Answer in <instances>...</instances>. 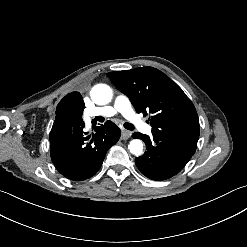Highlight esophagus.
<instances>
[{
    "label": "esophagus",
    "mask_w": 247,
    "mask_h": 247,
    "mask_svg": "<svg viewBox=\"0 0 247 247\" xmlns=\"http://www.w3.org/2000/svg\"><path fill=\"white\" fill-rule=\"evenodd\" d=\"M131 136V133L129 131L123 130L121 132V139L127 140Z\"/></svg>",
    "instance_id": "34e87169"
}]
</instances>
